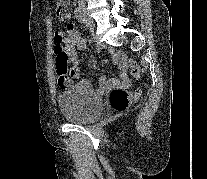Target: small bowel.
Wrapping results in <instances>:
<instances>
[{
    "label": "small bowel",
    "instance_id": "small-bowel-1",
    "mask_svg": "<svg viewBox=\"0 0 207 179\" xmlns=\"http://www.w3.org/2000/svg\"><path fill=\"white\" fill-rule=\"evenodd\" d=\"M71 14L66 12L62 19L69 20ZM54 39H59L67 44V54L74 66L78 65L77 51L86 49L88 40L82 37L81 33L73 26H70L67 30H59L55 33ZM114 62L119 69V79H107L105 76H101L99 79V92L107 93L111 89L122 86L128 87L130 85V78L128 76V65L124 53L117 51L114 52ZM67 86L68 83L63 84Z\"/></svg>",
    "mask_w": 207,
    "mask_h": 179
}]
</instances>
